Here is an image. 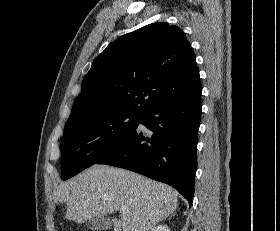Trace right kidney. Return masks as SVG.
I'll return each instance as SVG.
<instances>
[{"label":"right kidney","instance_id":"ca27d5eb","mask_svg":"<svg viewBox=\"0 0 280 231\" xmlns=\"http://www.w3.org/2000/svg\"><path fill=\"white\" fill-rule=\"evenodd\" d=\"M150 231H170V229L166 223H161V225H155Z\"/></svg>","mask_w":280,"mask_h":231}]
</instances>
